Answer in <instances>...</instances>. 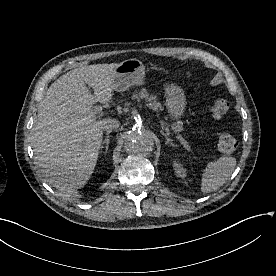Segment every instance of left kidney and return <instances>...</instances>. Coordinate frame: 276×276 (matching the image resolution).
I'll return each instance as SVG.
<instances>
[{"label":"left kidney","instance_id":"1","mask_svg":"<svg viewBox=\"0 0 276 276\" xmlns=\"http://www.w3.org/2000/svg\"><path fill=\"white\" fill-rule=\"evenodd\" d=\"M173 167L178 177H186V169L178 161H174Z\"/></svg>","mask_w":276,"mask_h":276}]
</instances>
